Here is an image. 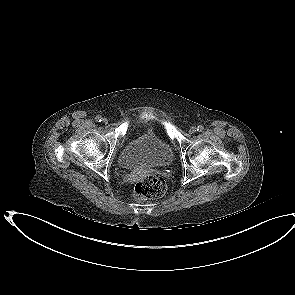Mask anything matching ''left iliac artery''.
Wrapping results in <instances>:
<instances>
[{"mask_svg":"<svg viewBox=\"0 0 295 295\" xmlns=\"http://www.w3.org/2000/svg\"><path fill=\"white\" fill-rule=\"evenodd\" d=\"M203 129H204V127H203L202 125H199V126L197 127V131H199V132L203 131Z\"/></svg>","mask_w":295,"mask_h":295,"instance_id":"left-iliac-artery-1","label":"left iliac artery"}]
</instances>
